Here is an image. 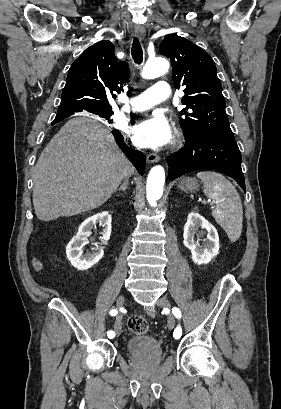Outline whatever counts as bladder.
Instances as JSON below:
<instances>
[{
	"instance_id": "31cf9c89",
	"label": "bladder",
	"mask_w": 281,
	"mask_h": 409,
	"mask_svg": "<svg viewBox=\"0 0 281 409\" xmlns=\"http://www.w3.org/2000/svg\"><path fill=\"white\" fill-rule=\"evenodd\" d=\"M129 355H162V342L148 333L130 336L124 343Z\"/></svg>"
}]
</instances>
